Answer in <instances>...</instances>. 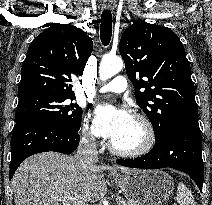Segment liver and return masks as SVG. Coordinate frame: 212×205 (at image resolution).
I'll list each match as a JSON object with an SVG mask.
<instances>
[{
  "instance_id": "6515ba94",
  "label": "liver",
  "mask_w": 212,
  "mask_h": 205,
  "mask_svg": "<svg viewBox=\"0 0 212 205\" xmlns=\"http://www.w3.org/2000/svg\"><path fill=\"white\" fill-rule=\"evenodd\" d=\"M114 168L122 172L132 170L96 164L83 168L76 157L57 152L33 155L13 176L15 205H61L65 197L96 202L107 192L103 170Z\"/></svg>"
}]
</instances>
